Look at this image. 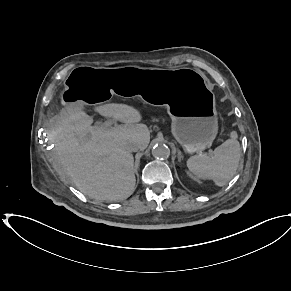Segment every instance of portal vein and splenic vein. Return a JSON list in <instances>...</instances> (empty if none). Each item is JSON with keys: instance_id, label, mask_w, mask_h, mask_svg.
Returning a JSON list of instances; mask_svg holds the SVG:
<instances>
[{"instance_id": "portal-vein-and-splenic-vein-1", "label": "portal vein and splenic vein", "mask_w": 291, "mask_h": 291, "mask_svg": "<svg viewBox=\"0 0 291 291\" xmlns=\"http://www.w3.org/2000/svg\"><path fill=\"white\" fill-rule=\"evenodd\" d=\"M108 124L109 123H106V124H104L102 127H100V128H106L107 126H108ZM97 127H99V126H97Z\"/></svg>"}]
</instances>
